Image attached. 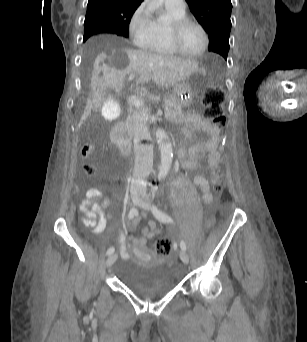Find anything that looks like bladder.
<instances>
[{"label":"bladder","instance_id":"1","mask_svg":"<svg viewBox=\"0 0 307 342\" xmlns=\"http://www.w3.org/2000/svg\"><path fill=\"white\" fill-rule=\"evenodd\" d=\"M119 278L129 290L149 298L166 295L179 283L172 270L144 264L134 259L123 262Z\"/></svg>","mask_w":307,"mask_h":342}]
</instances>
